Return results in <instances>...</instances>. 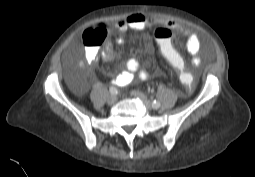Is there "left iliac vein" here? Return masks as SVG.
Listing matches in <instances>:
<instances>
[{
    "label": "left iliac vein",
    "mask_w": 255,
    "mask_h": 177,
    "mask_svg": "<svg viewBox=\"0 0 255 177\" xmlns=\"http://www.w3.org/2000/svg\"><path fill=\"white\" fill-rule=\"evenodd\" d=\"M131 94H132L133 96L137 97V98L142 99V100L145 102L146 106H147L149 109H155V108L152 106V104L149 102V100L147 99V97H146L144 94H142L141 92H139V91H132Z\"/></svg>",
    "instance_id": "obj_1"
}]
</instances>
